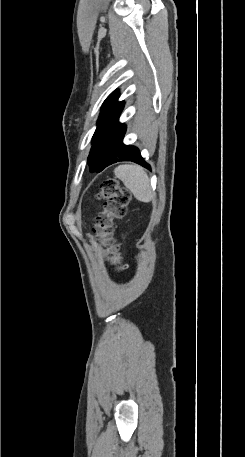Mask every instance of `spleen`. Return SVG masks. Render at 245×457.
<instances>
[{"mask_svg":"<svg viewBox=\"0 0 245 457\" xmlns=\"http://www.w3.org/2000/svg\"><path fill=\"white\" fill-rule=\"evenodd\" d=\"M117 178L133 192L135 198L142 202H149L153 196L150 178L145 168L140 164H119L114 170Z\"/></svg>","mask_w":245,"mask_h":457,"instance_id":"1","label":"spleen"}]
</instances>
